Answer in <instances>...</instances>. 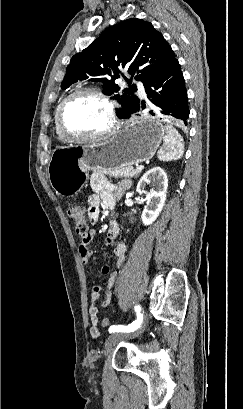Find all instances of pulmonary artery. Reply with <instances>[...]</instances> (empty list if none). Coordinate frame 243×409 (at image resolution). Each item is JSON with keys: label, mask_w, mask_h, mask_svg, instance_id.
<instances>
[{"label": "pulmonary artery", "mask_w": 243, "mask_h": 409, "mask_svg": "<svg viewBox=\"0 0 243 409\" xmlns=\"http://www.w3.org/2000/svg\"><path fill=\"white\" fill-rule=\"evenodd\" d=\"M138 94H139L141 97H145V95H146L145 89H144V87H143L140 83H138Z\"/></svg>", "instance_id": "e3ab8cb5"}]
</instances>
